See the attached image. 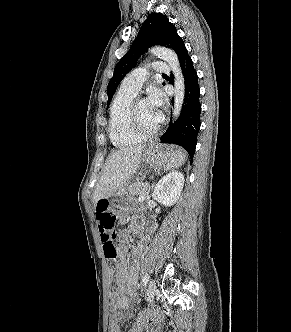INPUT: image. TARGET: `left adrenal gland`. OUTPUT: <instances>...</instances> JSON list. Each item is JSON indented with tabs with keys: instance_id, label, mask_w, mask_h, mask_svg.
Instances as JSON below:
<instances>
[{
	"instance_id": "1",
	"label": "left adrenal gland",
	"mask_w": 291,
	"mask_h": 332,
	"mask_svg": "<svg viewBox=\"0 0 291 332\" xmlns=\"http://www.w3.org/2000/svg\"><path fill=\"white\" fill-rule=\"evenodd\" d=\"M153 187H154V183L152 184L151 188H153Z\"/></svg>"
}]
</instances>
